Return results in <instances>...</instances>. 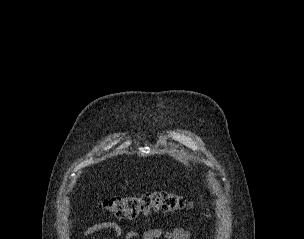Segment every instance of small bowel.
<instances>
[{
  "label": "small bowel",
  "instance_id": "small-bowel-1",
  "mask_svg": "<svg viewBox=\"0 0 304 239\" xmlns=\"http://www.w3.org/2000/svg\"><path fill=\"white\" fill-rule=\"evenodd\" d=\"M110 231L112 236L107 239H118L122 236L121 227L114 222H104L96 224L84 231L85 237L93 234ZM125 239H191V233L185 228L163 229V228H150L142 235L135 231H128L124 235Z\"/></svg>",
  "mask_w": 304,
  "mask_h": 239
}]
</instances>
